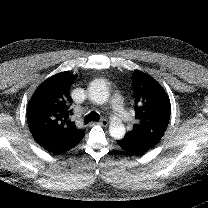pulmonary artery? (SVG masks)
Returning a JSON list of instances; mask_svg holds the SVG:
<instances>
[{"label": "pulmonary artery", "mask_w": 208, "mask_h": 208, "mask_svg": "<svg viewBox=\"0 0 208 208\" xmlns=\"http://www.w3.org/2000/svg\"><path fill=\"white\" fill-rule=\"evenodd\" d=\"M107 107L120 121H130L132 119L131 114L124 107L123 98L118 94H115L110 98Z\"/></svg>", "instance_id": "obj_1"}]
</instances>
